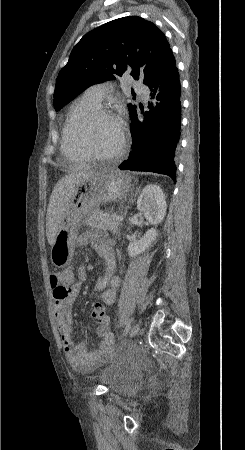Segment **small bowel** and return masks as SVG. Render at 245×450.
Returning a JSON list of instances; mask_svg holds the SVG:
<instances>
[{"label":"small bowel","mask_w":245,"mask_h":450,"mask_svg":"<svg viewBox=\"0 0 245 450\" xmlns=\"http://www.w3.org/2000/svg\"><path fill=\"white\" fill-rule=\"evenodd\" d=\"M77 242L80 246H92L105 261V272L97 280L94 289L100 293L101 301L104 304L112 305L120 284V279L115 274L116 256L113 241L107 235L88 230L78 237ZM86 279L87 272L83 267L77 269L75 276L73 272L66 275L54 273L49 278L54 303V318L60 333L63 351L73 367L80 372L93 370L114 343L109 323L99 325L97 328V334L102 339L98 348L88 351L84 343H74L71 325L72 309L80 293L81 285ZM65 281L68 282L66 285H64Z\"/></svg>","instance_id":"obj_1"}]
</instances>
